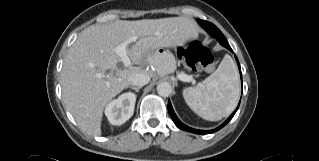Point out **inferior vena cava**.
Here are the masks:
<instances>
[{
	"instance_id": "602c4592",
	"label": "inferior vena cava",
	"mask_w": 319,
	"mask_h": 161,
	"mask_svg": "<svg viewBox=\"0 0 319 161\" xmlns=\"http://www.w3.org/2000/svg\"><path fill=\"white\" fill-rule=\"evenodd\" d=\"M150 81V76L143 72H135L131 74L129 78V84L136 87H142L148 84Z\"/></svg>"
}]
</instances>
